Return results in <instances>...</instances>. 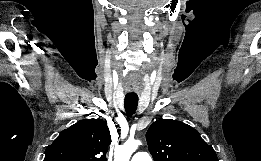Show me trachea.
<instances>
[{"label":"trachea","mask_w":261,"mask_h":161,"mask_svg":"<svg viewBox=\"0 0 261 161\" xmlns=\"http://www.w3.org/2000/svg\"><path fill=\"white\" fill-rule=\"evenodd\" d=\"M138 106V96L136 95H126L124 101V107L129 116H132Z\"/></svg>","instance_id":"1"}]
</instances>
